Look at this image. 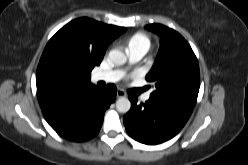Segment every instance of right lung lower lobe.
Instances as JSON below:
<instances>
[{"mask_svg": "<svg viewBox=\"0 0 248 165\" xmlns=\"http://www.w3.org/2000/svg\"><path fill=\"white\" fill-rule=\"evenodd\" d=\"M116 94L114 84H108L105 89L94 87L72 100L42 109V112L62 137L75 142L86 141L99 132L104 113L115 101Z\"/></svg>", "mask_w": 248, "mask_h": 165, "instance_id": "right-lung-lower-lobe-1", "label": "right lung lower lobe"}]
</instances>
